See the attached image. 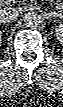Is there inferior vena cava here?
Here are the masks:
<instances>
[{
	"mask_svg": "<svg viewBox=\"0 0 63 107\" xmlns=\"http://www.w3.org/2000/svg\"><path fill=\"white\" fill-rule=\"evenodd\" d=\"M18 16V12L13 7H6L0 10V21L8 23L13 21Z\"/></svg>",
	"mask_w": 63,
	"mask_h": 107,
	"instance_id": "602c4592",
	"label": "inferior vena cava"
}]
</instances>
